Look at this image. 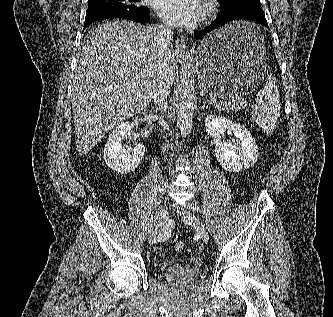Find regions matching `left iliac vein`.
I'll list each match as a JSON object with an SVG mask.
<instances>
[{
	"label": "left iliac vein",
	"mask_w": 333,
	"mask_h": 317,
	"mask_svg": "<svg viewBox=\"0 0 333 317\" xmlns=\"http://www.w3.org/2000/svg\"><path fill=\"white\" fill-rule=\"evenodd\" d=\"M194 208H195L194 205L192 204L188 205V210L181 214V218L185 223L194 227L198 232V234L200 235V237L202 238V240L205 243H208L209 242L208 231L203 222L191 212V210L192 209L194 210Z\"/></svg>",
	"instance_id": "1"
}]
</instances>
